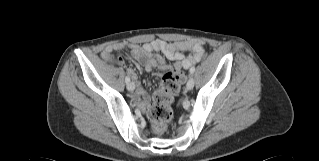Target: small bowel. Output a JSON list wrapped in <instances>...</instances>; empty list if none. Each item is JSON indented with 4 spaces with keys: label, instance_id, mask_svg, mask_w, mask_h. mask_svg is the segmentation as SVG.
<instances>
[{
    "label": "small bowel",
    "instance_id": "1",
    "mask_svg": "<svg viewBox=\"0 0 319 161\" xmlns=\"http://www.w3.org/2000/svg\"><path fill=\"white\" fill-rule=\"evenodd\" d=\"M126 47L123 43H115L107 46L103 54L109 56L114 51L122 50ZM131 53L133 57L139 61L146 71L154 69L166 70L167 65L165 58L175 62V67L181 70L182 81L186 80L184 72L187 71L192 65L196 64L203 56L205 48L200 41H172L167 42L161 39H154L142 45L131 44ZM189 52L188 55L185 52ZM156 53H161L156 54ZM127 72L132 76L136 92L133 102L142 106L146 105L149 101L148 95L137 81V76L132 68H128Z\"/></svg>",
    "mask_w": 319,
    "mask_h": 161
}]
</instances>
